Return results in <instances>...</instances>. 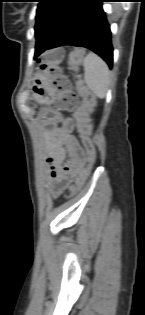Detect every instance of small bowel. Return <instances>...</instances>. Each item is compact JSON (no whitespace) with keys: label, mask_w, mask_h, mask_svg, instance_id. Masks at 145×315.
Segmentation results:
<instances>
[{"label":"small bowel","mask_w":145,"mask_h":315,"mask_svg":"<svg viewBox=\"0 0 145 315\" xmlns=\"http://www.w3.org/2000/svg\"><path fill=\"white\" fill-rule=\"evenodd\" d=\"M72 119H64L47 136V176L50 191L58 195L73 182L83 184L88 176L85 168L86 155L72 134ZM68 157V161H66Z\"/></svg>","instance_id":"1"}]
</instances>
